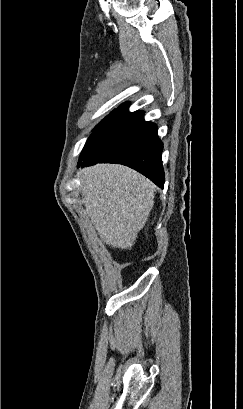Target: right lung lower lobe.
<instances>
[{
  "mask_svg": "<svg viewBox=\"0 0 243 409\" xmlns=\"http://www.w3.org/2000/svg\"><path fill=\"white\" fill-rule=\"evenodd\" d=\"M124 103L87 140L78 167L95 163H118L142 173L163 188L165 176L161 153L163 143L157 125L145 122L144 112H128Z\"/></svg>",
  "mask_w": 243,
  "mask_h": 409,
  "instance_id": "98d812e1",
  "label": "right lung lower lobe"
}]
</instances>
